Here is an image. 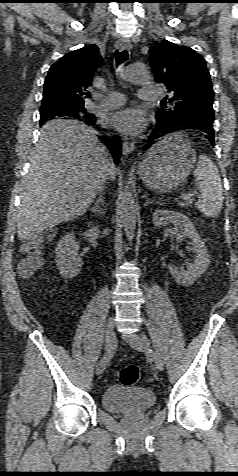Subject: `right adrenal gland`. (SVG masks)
<instances>
[{
    "instance_id": "2a0ac1e0",
    "label": "right adrenal gland",
    "mask_w": 238,
    "mask_h": 476,
    "mask_svg": "<svg viewBox=\"0 0 238 476\" xmlns=\"http://www.w3.org/2000/svg\"><path fill=\"white\" fill-rule=\"evenodd\" d=\"M103 205H104L103 190H101L98 200L94 203L93 211L97 212L98 214L103 213V210L101 209V206Z\"/></svg>"
}]
</instances>
